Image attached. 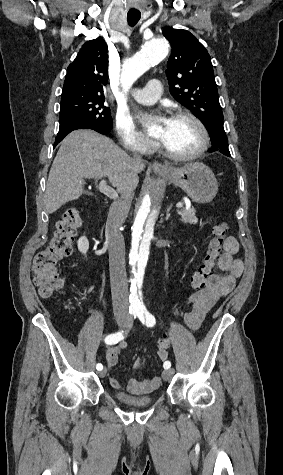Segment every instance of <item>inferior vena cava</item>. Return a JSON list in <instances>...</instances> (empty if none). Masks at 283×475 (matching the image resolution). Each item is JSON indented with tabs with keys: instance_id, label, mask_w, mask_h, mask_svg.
<instances>
[{
	"instance_id": "obj_1",
	"label": "inferior vena cava",
	"mask_w": 283,
	"mask_h": 475,
	"mask_svg": "<svg viewBox=\"0 0 283 475\" xmlns=\"http://www.w3.org/2000/svg\"><path fill=\"white\" fill-rule=\"evenodd\" d=\"M134 160H141L138 154ZM133 196L121 194V200L113 202L106 222V241L109 249L110 283L112 291L113 311L128 313V279L125 267V243L120 228L130 210Z\"/></svg>"
}]
</instances>
